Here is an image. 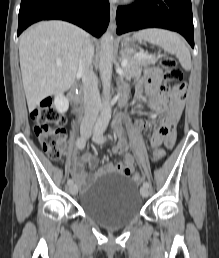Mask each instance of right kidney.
I'll list each match as a JSON object with an SVG mask.
<instances>
[{"instance_id": "obj_1", "label": "right kidney", "mask_w": 219, "mask_h": 258, "mask_svg": "<svg viewBox=\"0 0 219 258\" xmlns=\"http://www.w3.org/2000/svg\"><path fill=\"white\" fill-rule=\"evenodd\" d=\"M54 105L56 107V110L59 113L63 114L68 110L69 101L62 93H59L54 98Z\"/></svg>"}]
</instances>
